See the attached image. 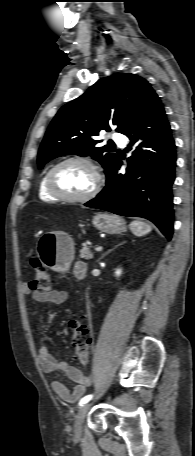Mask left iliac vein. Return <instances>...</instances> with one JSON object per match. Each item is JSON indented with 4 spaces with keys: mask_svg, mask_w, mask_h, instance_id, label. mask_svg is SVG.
<instances>
[{
    "mask_svg": "<svg viewBox=\"0 0 195 456\" xmlns=\"http://www.w3.org/2000/svg\"><path fill=\"white\" fill-rule=\"evenodd\" d=\"M90 406L91 404L89 403L83 404L81 408L78 410L77 414L75 415L74 434L76 438H80V436L82 435V424Z\"/></svg>",
    "mask_w": 195,
    "mask_h": 456,
    "instance_id": "obj_1",
    "label": "left iliac vein"
}]
</instances>
